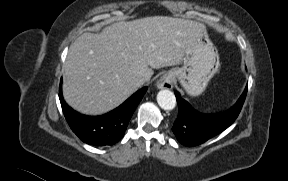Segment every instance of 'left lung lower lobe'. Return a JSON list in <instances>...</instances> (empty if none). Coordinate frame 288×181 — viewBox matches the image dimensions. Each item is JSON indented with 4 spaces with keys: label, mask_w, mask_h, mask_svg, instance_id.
<instances>
[{
    "label": "left lung lower lobe",
    "mask_w": 288,
    "mask_h": 181,
    "mask_svg": "<svg viewBox=\"0 0 288 181\" xmlns=\"http://www.w3.org/2000/svg\"><path fill=\"white\" fill-rule=\"evenodd\" d=\"M247 87L238 101L228 111L217 115H206L195 111L188 102L175 92L178 103V117L172 131L177 140L188 147L200 145L215 135L227 129L238 117L245 97Z\"/></svg>",
    "instance_id": "obj_1"
}]
</instances>
